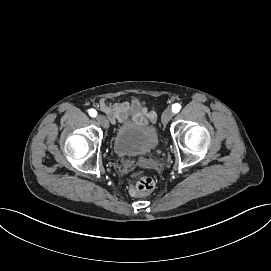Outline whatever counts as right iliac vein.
I'll use <instances>...</instances> for the list:
<instances>
[{"label":"right iliac vein","mask_w":271,"mask_h":271,"mask_svg":"<svg viewBox=\"0 0 271 271\" xmlns=\"http://www.w3.org/2000/svg\"><path fill=\"white\" fill-rule=\"evenodd\" d=\"M96 120H97L98 124H100L103 128L107 129L109 127V122L104 115H98L96 117Z\"/></svg>","instance_id":"obj_1"}]
</instances>
